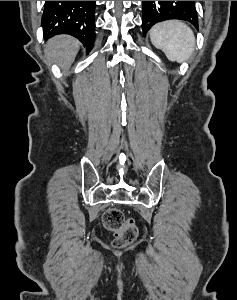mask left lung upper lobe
I'll return each mask as SVG.
<instances>
[{
	"instance_id": "obj_1",
	"label": "left lung upper lobe",
	"mask_w": 237,
	"mask_h": 300,
	"mask_svg": "<svg viewBox=\"0 0 237 300\" xmlns=\"http://www.w3.org/2000/svg\"><path fill=\"white\" fill-rule=\"evenodd\" d=\"M194 3V1H192ZM196 10V9H195ZM142 28L146 33L155 23L168 19L188 21L198 28L197 12L186 7L171 3V1H143Z\"/></svg>"
}]
</instances>
